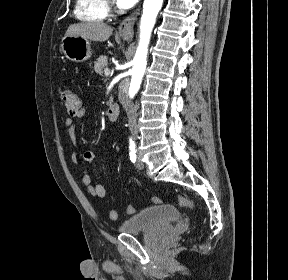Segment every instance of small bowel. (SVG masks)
<instances>
[{
  "label": "small bowel",
  "mask_w": 288,
  "mask_h": 280,
  "mask_svg": "<svg viewBox=\"0 0 288 280\" xmlns=\"http://www.w3.org/2000/svg\"><path fill=\"white\" fill-rule=\"evenodd\" d=\"M88 112V108L86 106H82L77 113V117L81 118L84 117ZM65 125L69 129L70 135H74L75 133V123L73 119L67 118L65 120ZM84 160L87 165V169L84 172V174L81 177V182L83 185L86 186L88 192L97 198L105 199L109 196V193L107 189L99 182H95L94 175L97 172V166H96V159L92 152H86L84 154ZM72 161L74 163H77L78 156L76 153L72 155Z\"/></svg>",
  "instance_id": "c3829d8e"
}]
</instances>
